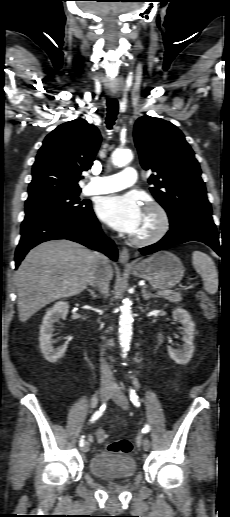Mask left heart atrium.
<instances>
[{
    "label": "left heart atrium",
    "mask_w": 230,
    "mask_h": 517,
    "mask_svg": "<svg viewBox=\"0 0 230 517\" xmlns=\"http://www.w3.org/2000/svg\"><path fill=\"white\" fill-rule=\"evenodd\" d=\"M96 211L109 226L129 234L137 231L143 216L141 204L133 194L104 197L98 202Z\"/></svg>",
    "instance_id": "39dd6f15"
}]
</instances>
